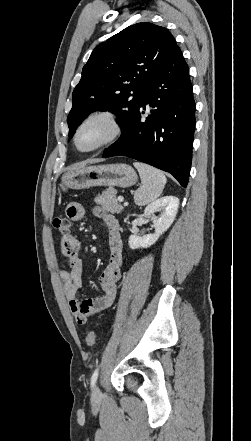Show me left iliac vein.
Wrapping results in <instances>:
<instances>
[{"label":"left iliac vein","instance_id":"left-iliac-vein-1","mask_svg":"<svg viewBox=\"0 0 251 441\" xmlns=\"http://www.w3.org/2000/svg\"><path fill=\"white\" fill-rule=\"evenodd\" d=\"M92 395H93L94 397H99V396L101 395V392H100V389L98 388V386H95V387L93 388Z\"/></svg>","mask_w":251,"mask_h":441}]
</instances>
